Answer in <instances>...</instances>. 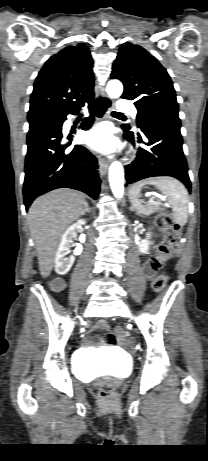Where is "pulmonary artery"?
Segmentation results:
<instances>
[{
  "label": "pulmonary artery",
  "mask_w": 208,
  "mask_h": 461,
  "mask_svg": "<svg viewBox=\"0 0 208 461\" xmlns=\"http://www.w3.org/2000/svg\"><path fill=\"white\" fill-rule=\"evenodd\" d=\"M117 108H118V110L120 112L129 113L133 117H135L137 115V110H136L135 106L132 103L127 102L125 100H121L118 103Z\"/></svg>",
  "instance_id": "pulmonary-artery-1"
}]
</instances>
